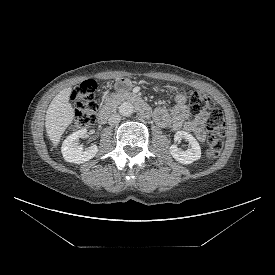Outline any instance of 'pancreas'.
<instances>
[{"label":"pancreas","mask_w":275,"mask_h":275,"mask_svg":"<svg viewBox=\"0 0 275 275\" xmlns=\"http://www.w3.org/2000/svg\"><path fill=\"white\" fill-rule=\"evenodd\" d=\"M124 97H125V95H122V94H119V93H113L110 96H107L105 98L104 103L106 105H116L121 100H123Z\"/></svg>","instance_id":"1"}]
</instances>
